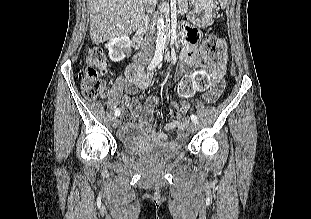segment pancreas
I'll return each mask as SVG.
<instances>
[{
    "label": "pancreas",
    "mask_w": 311,
    "mask_h": 219,
    "mask_svg": "<svg viewBox=\"0 0 311 219\" xmlns=\"http://www.w3.org/2000/svg\"><path fill=\"white\" fill-rule=\"evenodd\" d=\"M179 13L184 14L188 11V1L178 0Z\"/></svg>",
    "instance_id": "pancreas-1"
}]
</instances>
